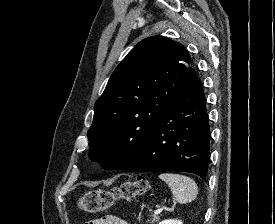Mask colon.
<instances>
[{"instance_id":"1","label":"colon","mask_w":275,"mask_h":224,"mask_svg":"<svg viewBox=\"0 0 275 224\" xmlns=\"http://www.w3.org/2000/svg\"><path fill=\"white\" fill-rule=\"evenodd\" d=\"M149 186L145 177H138L132 181H125L111 189H96L84 194L78 207L87 213H96L111 208L116 202L133 200L136 196L144 193Z\"/></svg>"}]
</instances>
